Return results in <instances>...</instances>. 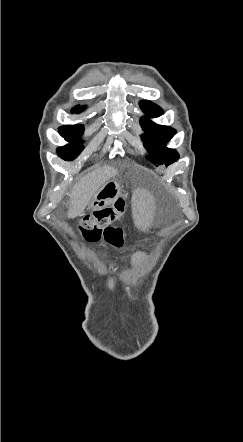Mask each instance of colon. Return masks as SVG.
I'll return each instance as SVG.
<instances>
[{"label": "colon", "mask_w": 243, "mask_h": 442, "mask_svg": "<svg viewBox=\"0 0 243 442\" xmlns=\"http://www.w3.org/2000/svg\"><path fill=\"white\" fill-rule=\"evenodd\" d=\"M125 200L118 197L107 206L96 209L79 222V230L88 241H105L108 245L120 248L124 242L122 229L117 225L124 217Z\"/></svg>", "instance_id": "5ec220e1"}]
</instances>
